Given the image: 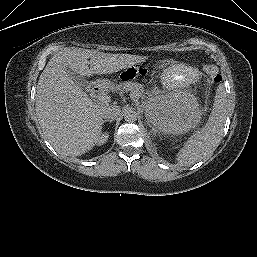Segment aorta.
Returning <instances> with one entry per match:
<instances>
[{"mask_svg": "<svg viewBox=\"0 0 257 257\" xmlns=\"http://www.w3.org/2000/svg\"><path fill=\"white\" fill-rule=\"evenodd\" d=\"M124 120L128 123H133L137 120V112L131 108H125L123 111Z\"/></svg>", "mask_w": 257, "mask_h": 257, "instance_id": "obj_1", "label": "aorta"}]
</instances>
